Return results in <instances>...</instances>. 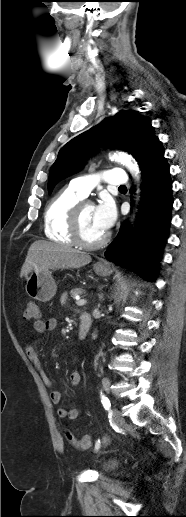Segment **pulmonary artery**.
I'll list each match as a JSON object with an SVG mask.
<instances>
[{"mask_svg":"<svg viewBox=\"0 0 186 517\" xmlns=\"http://www.w3.org/2000/svg\"><path fill=\"white\" fill-rule=\"evenodd\" d=\"M127 179L123 169H108L101 177V180L109 185H125ZM98 181L99 178L95 175L81 176L71 180L70 186L81 196L87 197Z\"/></svg>","mask_w":186,"mask_h":517,"instance_id":"pulmonary-artery-1","label":"pulmonary artery"}]
</instances>
